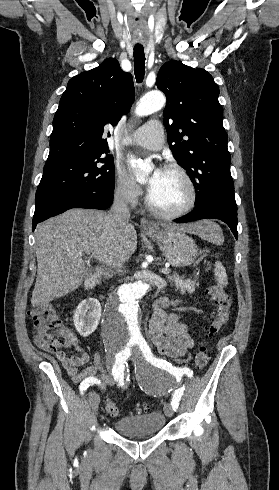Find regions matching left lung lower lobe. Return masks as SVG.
<instances>
[{"label": "left lung lower lobe", "instance_id": "obj_1", "mask_svg": "<svg viewBox=\"0 0 279 490\" xmlns=\"http://www.w3.org/2000/svg\"><path fill=\"white\" fill-rule=\"evenodd\" d=\"M219 219L225 222L233 232L235 238H238L237 233V206H231L227 201L219 198H207L203 204L175 220L177 223H187L200 219Z\"/></svg>", "mask_w": 279, "mask_h": 490}]
</instances>
